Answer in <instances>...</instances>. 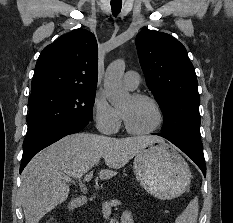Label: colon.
Instances as JSON below:
<instances>
[{
	"instance_id": "1",
	"label": "colon",
	"mask_w": 233,
	"mask_h": 223,
	"mask_svg": "<svg viewBox=\"0 0 233 223\" xmlns=\"http://www.w3.org/2000/svg\"><path fill=\"white\" fill-rule=\"evenodd\" d=\"M46 223H56L54 220H47Z\"/></svg>"
}]
</instances>
